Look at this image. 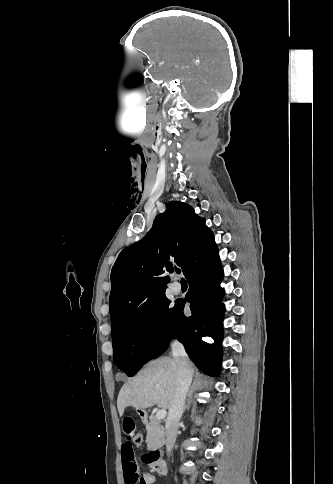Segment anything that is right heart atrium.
<instances>
[{
  "instance_id": "d8ad5b80",
  "label": "right heart atrium",
  "mask_w": 333,
  "mask_h": 484,
  "mask_svg": "<svg viewBox=\"0 0 333 484\" xmlns=\"http://www.w3.org/2000/svg\"><path fill=\"white\" fill-rule=\"evenodd\" d=\"M167 329H168L167 322L162 317L154 318L150 324L151 333L156 337H160L164 335Z\"/></svg>"
}]
</instances>
